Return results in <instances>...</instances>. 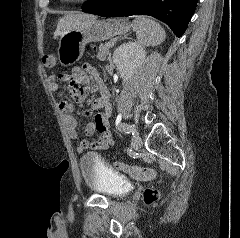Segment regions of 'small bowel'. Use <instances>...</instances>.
Listing matches in <instances>:
<instances>
[{
    "mask_svg": "<svg viewBox=\"0 0 240 238\" xmlns=\"http://www.w3.org/2000/svg\"><path fill=\"white\" fill-rule=\"evenodd\" d=\"M90 77L94 78L100 96L93 101L91 110L83 112L87 117L93 116V120L88 122L85 127V133L87 136H92L95 132H99L100 137L92 142L86 138L81 139L76 147L78 152H83L88 148L105 149L113 144V137L109 131L112 113L109 91L97 69L91 64H84L82 67L74 68L69 76L51 75L48 78V87L52 93L58 91L61 84L67 82L69 92L74 100L81 102L87 97ZM59 109L62 113L63 123L68 136L72 139L77 138V121L73 116L75 111L74 105L67 101H61Z\"/></svg>",
    "mask_w": 240,
    "mask_h": 238,
    "instance_id": "obj_1",
    "label": "small bowel"
}]
</instances>
